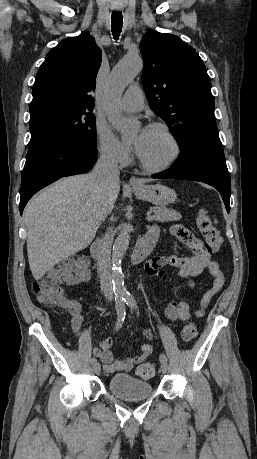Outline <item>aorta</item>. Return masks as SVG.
I'll use <instances>...</instances> for the list:
<instances>
[{"instance_id":"1","label":"aorta","mask_w":257,"mask_h":459,"mask_svg":"<svg viewBox=\"0 0 257 459\" xmlns=\"http://www.w3.org/2000/svg\"><path fill=\"white\" fill-rule=\"evenodd\" d=\"M142 65L143 61L140 56H127L114 67L106 91L109 101H113L122 95L128 84L140 72ZM109 120L121 133L123 141L129 140L135 135V121L122 116L113 109H110ZM130 231V226L123 224L112 249V283L118 300L127 295L121 263L129 246Z\"/></svg>"}]
</instances>
